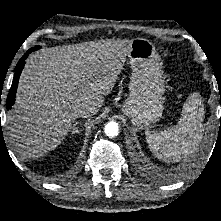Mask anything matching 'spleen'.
Returning a JSON list of instances; mask_svg holds the SVG:
<instances>
[{
  "instance_id": "spleen-1",
  "label": "spleen",
  "mask_w": 221,
  "mask_h": 221,
  "mask_svg": "<svg viewBox=\"0 0 221 221\" xmlns=\"http://www.w3.org/2000/svg\"><path fill=\"white\" fill-rule=\"evenodd\" d=\"M203 115L201 99L198 94H191L177 125L163 131L146 132V141L154 156L165 162L186 160L202 141Z\"/></svg>"
}]
</instances>
